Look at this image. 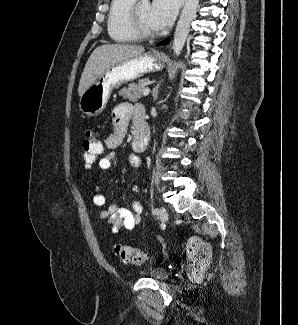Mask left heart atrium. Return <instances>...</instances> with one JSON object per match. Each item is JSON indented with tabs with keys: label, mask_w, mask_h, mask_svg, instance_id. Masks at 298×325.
<instances>
[{
	"label": "left heart atrium",
	"mask_w": 298,
	"mask_h": 325,
	"mask_svg": "<svg viewBox=\"0 0 298 325\" xmlns=\"http://www.w3.org/2000/svg\"><path fill=\"white\" fill-rule=\"evenodd\" d=\"M153 15L161 30L171 26L178 12L176 0H155L152 4Z\"/></svg>",
	"instance_id": "39dd6f15"
}]
</instances>
